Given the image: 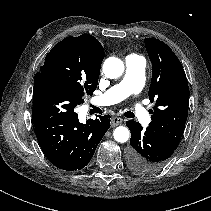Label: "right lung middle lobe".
<instances>
[{"label": "right lung middle lobe", "mask_w": 211, "mask_h": 211, "mask_svg": "<svg viewBox=\"0 0 211 211\" xmlns=\"http://www.w3.org/2000/svg\"><path fill=\"white\" fill-rule=\"evenodd\" d=\"M99 74L100 71L95 70L91 59L67 37L46 55L44 65L35 76L60 83L83 97L93 94Z\"/></svg>", "instance_id": "1"}]
</instances>
